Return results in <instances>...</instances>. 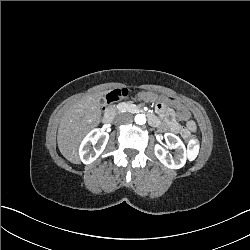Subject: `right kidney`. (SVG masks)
<instances>
[{"label": "right kidney", "instance_id": "1", "mask_svg": "<svg viewBox=\"0 0 250 250\" xmlns=\"http://www.w3.org/2000/svg\"><path fill=\"white\" fill-rule=\"evenodd\" d=\"M96 133L93 135V133ZM109 139V135L106 132H101L98 128L90 130L84 138L78 148L79 158L83 164H89L93 162L104 150ZM89 143H97L93 148V151L89 150Z\"/></svg>", "mask_w": 250, "mask_h": 250}]
</instances>
